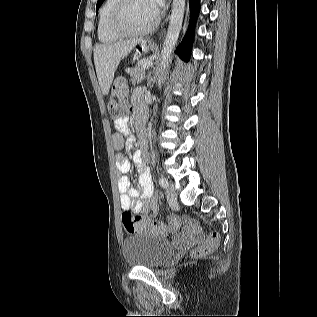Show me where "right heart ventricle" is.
<instances>
[{
	"instance_id": "1",
	"label": "right heart ventricle",
	"mask_w": 317,
	"mask_h": 317,
	"mask_svg": "<svg viewBox=\"0 0 317 317\" xmlns=\"http://www.w3.org/2000/svg\"><path fill=\"white\" fill-rule=\"evenodd\" d=\"M117 2L118 0H105L100 9L97 36L103 43H112L121 37L115 34L110 28L111 14Z\"/></svg>"
}]
</instances>
